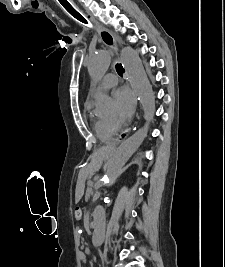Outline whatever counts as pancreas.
Masks as SVG:
<instances>
[{
  "label": "pancreas",
  "mask_w": 225,
  "mask_h": 267,
  "mask_svg": "<svg viewBox=\"0 0 225 267\" xmlns=\"http://www.w3.org/2000/svg\"><path fill=\"white\" fill-rule=\"evenodd\" d=\"M92 188H93V183L90 182V183L88 184V188H87V190H86V196H85L86 200H88L89 197H90V195L92 194V191H93Z\"/></svg>",
  "instance_id": "pancreas-1"
}]
</instances>
